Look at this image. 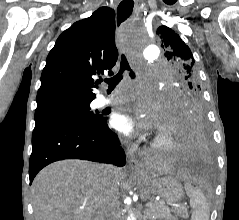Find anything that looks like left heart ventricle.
I'll return each instance as SVG.
<instances>
[{
	"label": "left heart ventricle",
	"instance_id": "obj_1",
	"mask_svg": "<svg viewBox=\"0 0 239 220\" xmlns=\"http://www.w3.org/2000/svg\"><path fill=\"white\" fill-rule=\"evenodd\" d=\"M161 135H162V132L157 137H160Z\"/></svg>",
	"mask_w": 239,
	"mask_h": 220
}]
</instances>
